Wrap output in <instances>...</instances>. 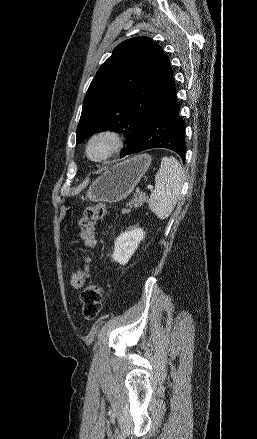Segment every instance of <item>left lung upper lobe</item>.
Instances as JSON below:
<instances>
[{
	"mask_svg": "<svg viewBox=\"0 0 257 439\" xmlns=\"http://www.w3.org/2000/svg\"><path fill=\"white\" fill-rule=\"evenodd\" d=\"M173 79V71L161 47L148 37L120 43L92 80L77 126V142L100 131L126 135L128 149L136 144L141 122Z\"/></svg>",
	"mask_w": 257,
	"mask_h": 439,
	"instance_id": "left-lung-upper-lobe-1",
	"label": "left lung upper lobe"
}]
</instances>
